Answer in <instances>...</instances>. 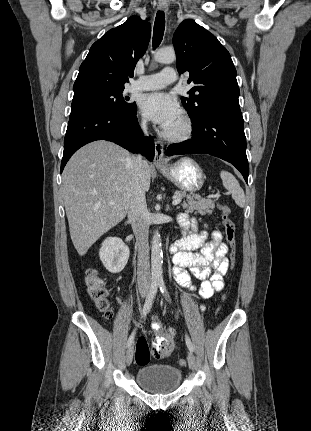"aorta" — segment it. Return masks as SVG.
<instances>
[{
	"label": "aorta",
	"instance_id": "1",
	"mask_svg": "<svg viewBox=\"0 0 311 431\" xmlns=\"http://www.w3.org/2000/svg\"><path fill=\"white\" fill-rule=\"evenodd\" d=\"M155 62L159 64H172L176 60L174 50H157L154 52ZM163 251L161 243V235L159 231H154L152 245H151V279L152 283L155 281H163L162 275Z\"/></svg>",
	"mask_w": 311,
	"mask_h": 431
}]
</instances>
